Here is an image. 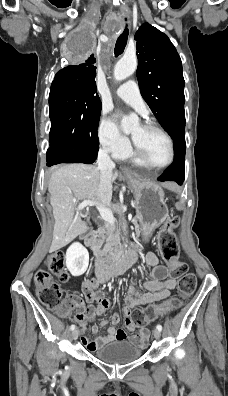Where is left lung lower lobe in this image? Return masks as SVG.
Masks as SVG:
<instances>
[{"label": "left lung lower lobe", "instance_id": "obj_1", "mask_svg": "<svg viewBox=\"0 0 228 396\" xmlns=\"http://www.w3.org/2000/svg\"><path fill=\"white\" fill-rule=\"evenodd\" d=\"M174 140V161L168 169L157 178L159 181H176L182 184L185 177V126L179 127L171 135Z\"/></svg>", "mask_w": 228, "mask_h": 396}]
</instances>
